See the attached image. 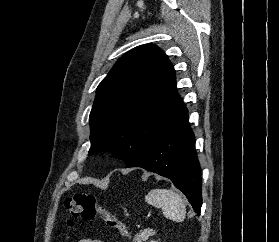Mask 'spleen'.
<instances>
[{
  "mask_svg": "<svg viewBox=\"0 0 279 242\" xmlns=\"http://www.w3.org/2000/svg\"><path fill=\"white\" fill-rule=\"evenodd\" d=\"M147 203L163 210L165 217L182 222L186 216V206L181 196L173 190L152 189L145 196Z\"/></svg>",
  "mask_w": 279,
  "mask_h": 242,
  "instance_id": "1",
  "label": "spleen"
}]
</instances>
